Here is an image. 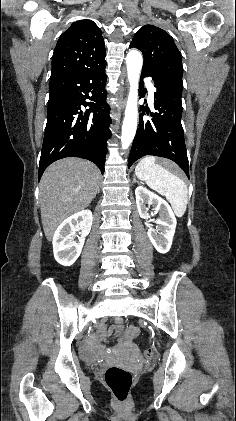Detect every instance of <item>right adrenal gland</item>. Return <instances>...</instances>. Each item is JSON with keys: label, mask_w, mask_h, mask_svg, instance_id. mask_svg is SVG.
I'll return each mask as SVG.
<instances>
[{"label": "right adrenal gland", "mask_w": 236, "mask_h": 421, "mask_svg": "<svg viewBox=\"0 0 236 421\" xmlns=\"http://www.w3.org/2000/svg\"><path fill=\"white\" fill-rule=\"evenodd\" d=\"M99 190H100V184H97L96 194H97V192H99ZM96 194H95V196H96Z\"/></svg>", "instance_id": "right-adrenal-gland-1"}]
</instances>
